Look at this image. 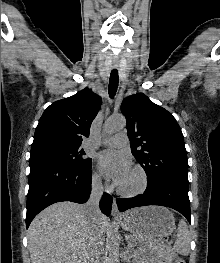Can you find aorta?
<instances>
[{
  "label": "aorta",
  "mask_w": 220,
  "mask_h": 263,
  "mask_svg": "<svg viewBox=\"0 0 220 263\" xmlns=\"http://www.w3.org/2000/svg\"><path fill=\"white\" fill-rule=\"evenodd\" d=\"M126 126V120L123 116L111 117L106 123V130L114 132L123 129ZM109 257L113 263L118 261L119 257V242L114 231L108 237Z\"/></svg>",
  "instance_id": "1"
}]
</instances>
